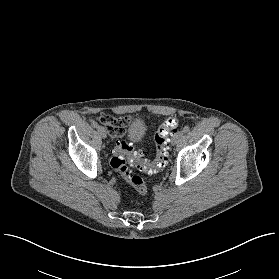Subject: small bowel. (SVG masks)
Here are the masks:
<instances>
[{"mask_svg": "<svg viewBox=\"0 0 279 279\" xmlns=\"http://www.w3.org/2000/svg\"><path fill=\"white\" fill-rule=\"evenodd\" d=\"M98 119L109 128V133L112 138H118L127 131V127L133 118L130 115L123 118H113L106 114H101ZM113 121H117V124H114Z\"/></svg>", "mask_w": 279, "mask_h": 279, "instance_id": "obj_1", "label": "small bowel"}]
</instances>
